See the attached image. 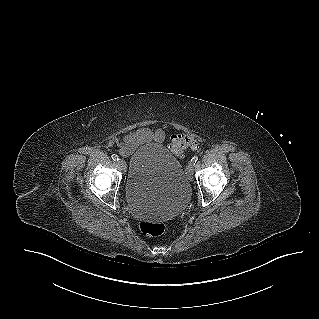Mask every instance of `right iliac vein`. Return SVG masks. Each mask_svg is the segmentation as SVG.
I'll use <instances>...</instances> for the list:
<instances>
[{
  "mask_svg": "<svg viewBox=\"0 0 319 319\" xmlns=\"http://www.w3.org/2000/svg\"><path fill=\"white\" fill-rule=\"evenodd\" d=\"M118 165H119L120 169H121L123 172L126 171V162H125L124 160L120 159V160L118 161Z\"/></svg>",
  "mask_w": 319,
  "mask_h": 319,
  "instance_id": "63e3f726",
  "label": "right iliac vein"
}]
</instances>
